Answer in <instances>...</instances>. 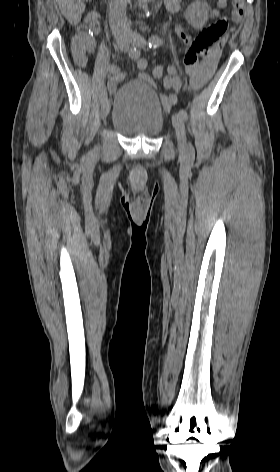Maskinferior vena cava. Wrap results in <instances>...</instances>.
<instances>
[{
	"label": "inferior vena cava",
	"mask_w": 280,
	"mask_h": 472,
	"mask_svg": "<svg viewBox=\"0 0 280 472\" xmlns=\"http://www.w3.org/2000/svg\"><path fill=\"white\" fill-rule=\"evenodd\" d=\"M130 0H111L109 8L110 27L114 34L129 29L126 18V7Z\"/></svg>",
	"instance_id": "inferior-vena-cava-1"
}]
</instances>
